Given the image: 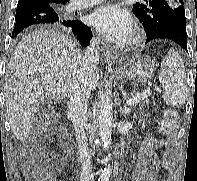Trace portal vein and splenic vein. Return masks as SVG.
<instances>
[{"instance_id": "obj_1", "label": "portal vein and splenic vein", "mask_w": 197, "mask_h": 181, "mask_svg": "<svg viewBox=\"0 0 197 181\" xmlns=\"http://www.w3.org/2000/svg\"><path fill=\"white\" fill-rule=\"evenodd\" d=\"M151 95L150 88H146L141 94H139L137 97L129 99L126 101L127 105H134L139 103L140 101L146 99L148 96Z\"/></svg>"}]
</instances>
